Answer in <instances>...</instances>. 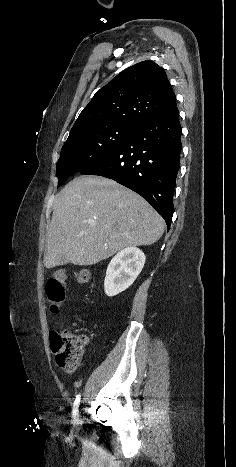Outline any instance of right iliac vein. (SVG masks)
Wrapping results in <instances>:
<instances>
[{
  "label": "right iliac vein",
  "mask_w": 236,
  "mask_h": 467,
  "mask_svg": "<svg viewBox=\"0 0 236 467\" xmlns=\"http://www.w3.org/2000/svg\"><path fill=\"white\" fill-rule=\"evenodd\" d=\"M79 421H80V419H79V417H78L77 420H76V423L79 424Z\"/></svg>",
  "instance_id": "obj_1"
}]
</instances>
